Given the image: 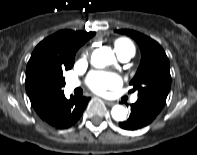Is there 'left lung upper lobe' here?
<instances>
[{"label": "left lung upper lobe", "instance_id": "left-lung-upper-lobe-1", "mask_svg": "<svg viewBox=\"0 0 197 155\" xmlns=\"http://www.w3.org/2000/svg\"><path fill=\"white\" fill-rule=\"evenodd\" d=\"M136 40L141 50V63L130 82L132 91H138V100L159 109L165 105L171 87L169 60L163 48L155 40L133 30H116Z\"/></svg>", "mask_w": 197, "mask_h": 155}]
</instances>
